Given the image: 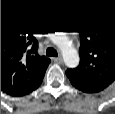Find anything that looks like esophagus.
<instances>
[{
    "instance_id": "obj_1",
    "label": "esophagus",
    "mask_w": 115,
    "mask_h": 114,
    "mask_svg": "<svg viewBox=\"0 0 115 114\" xmlns=\"http://www.w3.org/2000/svg\"><path fill=\"white\" fill-rule=\"evenodd\" d=\"M52 60L57 64L63 63V59L61 57H53Z\"/></svg>"
}]
</instances>
